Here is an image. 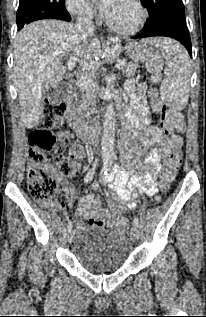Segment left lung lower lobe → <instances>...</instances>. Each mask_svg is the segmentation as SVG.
<instances>
[{
	"mask_svg": "<svg viewBox=\"0 0 206 317\" xmlns=\"http://www.w3.org/2000/svg\"><path fill=\"white\" fill-rule=\"evenodd\" d=\"M151 36H164L176 39L185 46L190 56H192L190 35L186 23L184 22L175 20L161 21L152 26L145 27L141 33L132 38L136 39Z\"/></svg>",
	"mask_w": 206,
	"mask_h": 317,
	"instance_id": "0a47b994",
	"label": "left lung lower lobe"
}]
</instances>
